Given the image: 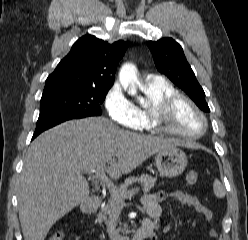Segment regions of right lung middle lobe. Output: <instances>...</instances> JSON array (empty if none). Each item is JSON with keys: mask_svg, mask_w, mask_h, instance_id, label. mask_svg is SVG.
<instances>
[{"mask_svg": "<svg viewBox=\"0 0 248 240\" xmlns=\"http://www.w3.org/2000/svg\"><path fill=\"white\" fill-rule=\"evenodd\" d=\"M107 90L58 88L43 91L39 119H77L102 114Z\"/></svg>", "mask_w": 248, "mask_h": 240, "instance_id": "obj_1", "label": "right lung middle lobe"}]
</instances>
